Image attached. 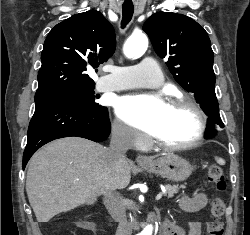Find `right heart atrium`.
I'll use <instances>...</instances> for the list:
<instances>
[{"label":"right heart atrium","instance_id":"right-heart-atrium-1","mask_svg":"<svg viewBox=\"0 0 250 235\" xmlns=\"http://www.w3.org/2000/svg\"><path fill=\"white\" fill-rule=\"evenodd\" d=\"M111 131L114 139L125 146H143L147 142L146 137L144 135L124 123L119 118H116L112 122Z\"/></svg>","mask_w":250,"mask_h":235}]
</instances>
